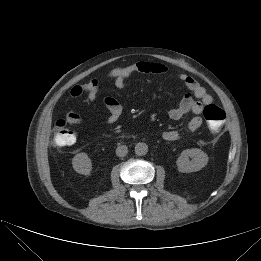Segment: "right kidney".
<instances>
[{"instance_id":"obj_1","label":"right kidney","mask_w":261,"mask_h":261,"mask_svg":"<svg viewBox=\"0 0 261 261\" xmlns=\"http://www.w3.org/2000/svg\"><path fill=\"white\" fill-rule=\"evenodd\" d=\"M73 169L82 175H89L92 170V162L86 153H78L72 159Z\"/></svg>"}]
</instances>
